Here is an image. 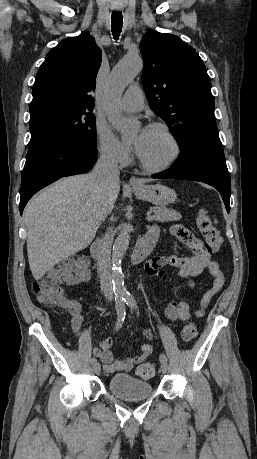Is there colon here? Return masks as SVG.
Masks as SVG:
<instances>
[{"label":"colon","mask_w":257,"mask_h":459,"mask_svg":"<svg viewBox=\"0 0 257 459\" xmlns=\"http://www.w3.org/2000/svg\"><path fill=\"white\" fill-rule=\"evenodd\" d=\"M197 228L204 237L206 249L210 252H216L220 249L222 239L218 229L212 224V221L204 209H200L196 218ZM87 260L84 257L69 258L64 260L55 268L51 269L41 279L35 281L32 285L39 303L45 306H58L62 308L71 307L68 300L60 287L63 280L80 281L86 277ZM197 327L193 322L187 323L182 330L184 341H190L197 336ZM137 374L142 379H150L155 374V366L151 363H145L138 367Z\"/></svg>","instance_id":"1"}]
</instances>
